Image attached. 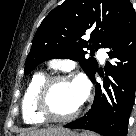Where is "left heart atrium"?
Listing matches in <instances>:
<instances>
[{
  "label": "left heart atrium",
  "instance_id": "1",
  "mask_svg": "<svg viewBox=\"0 0 136 136\" xmlns=\"http://www.w3.org/2000/svg\"><path fill=\"white\" fill-rule=\"evenodd\" d=\"M77 96L79 99L80 104L84 101L86 98L87 92H88V85L84 77L80 76L78 77L74 82Z\"/></svg>",
  "mask_w": 136,
  "mask_h": 136
}]
</instances>
